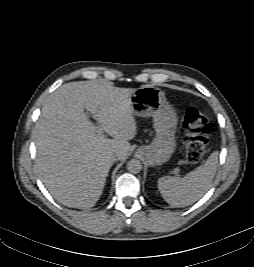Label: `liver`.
I'll return each mask as SVG.
<instances>
[{"instance_id": "6515ba94", "label": "liver", "mask_w": 254, "mask_h": 267, "mask_svg": "<svg viewBox=\"0 0 254 267\" xmlns=\"http://www.w3.org/2000/svg\"><path fill=\"white\" fill-rule=\"evenodd\" d=\"M133 88L111 82H69L46 99L32 131L36 172L51 195L72 208H90L99 200L114 162L125 160L137 122L129 97ZM84 109L93 114L99 134Z\"/></svg>"}]
</instances>
